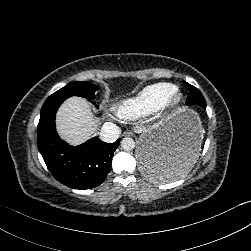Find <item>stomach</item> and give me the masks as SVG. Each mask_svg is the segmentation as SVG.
Returning a JSON list of instances; mask_svg holds the SVG:
<instances>
[{
  "label": "stomach",
  "instance_id": "stomach-1",
  "mask_svg": "<svg viewBox=\"0 0 251 251\" xmlns=\"http://www.w3.org/2000/svg\"><path fill=\"white\" fill-rule=\"evenodd\" d=\"M203 132L200 114L184 105L144 129L135 153L143 176L151 182H166L194 168Z\"/></svg>",
  "mask_w": 251,
  "mask_h": 251
}]
</instances>
